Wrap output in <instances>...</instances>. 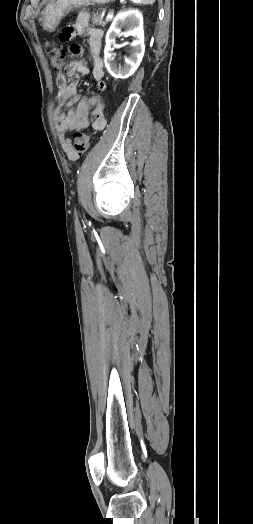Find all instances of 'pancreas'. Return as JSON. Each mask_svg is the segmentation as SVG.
Wrapping results in <instances>:
<instances>
[{
	"instance_id": "pancreas-1",
	"label": "pancreas",
	"mask_w": 253,
	"mask_h": 524,
	"mask_svg": "<svg viewBox=\"0 0 253 524\" xmlns=\"http://www.w3.org/2000/svg\"><path fill=\"white\" fill-rule=\"evenodd\" d=\"M108 21L109 20H106V21L103 20V16H102L101 13H99V12L93 13L92 23L94 25H99V26L104 27L108 23Z\"/></svg>"
}]
</instances>
